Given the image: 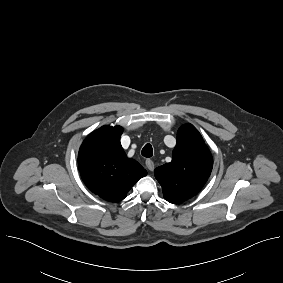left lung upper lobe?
Returning a JSON list of instances; mask_svg holds the SVG:
<instances>
[{
  "label": "left lung upper lobe",
  "mask_w": 283,
  "mask_h": 283,
  "mask_svg": "<svg viewBox=\"0 0 283 283\" xmlns=\"http://www.w3.org/2000/svg\"><path fill=\"white\" fill-rule=\"evenodd\" d=\"M213 165L212 155L201 134L191 124L180 127L172 161L154 170L164 198L179 203L196 195L206 183Z\"/></svg>",
  "instance_id": "left-lung-upper-lobe-1"
}]
</instances>
